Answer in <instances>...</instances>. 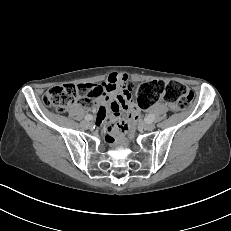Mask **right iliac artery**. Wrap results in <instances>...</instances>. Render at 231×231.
I'll use <instances>...</instances> for the list:
<instances>
[{
    "instance_id": "obj_1",
    "label": "right iliac artery",
    "mask_w": 231,
    "mask_h": 231,
    "mask_svg": "<svg viewBox=\"0 0 231 231\" xmlns=\"http://www.w3.org/2000/svg\"><path fill=\"white\" fill-rule=\"evenodd\" d=\"M93 119V116L92 115H90V114H88V115H86L85 116V120H92Z\"/></svg>"
}]
</instances>
